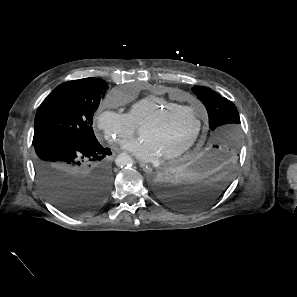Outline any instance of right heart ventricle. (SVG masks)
<instances>
[{
  "instance_id": "obj_1",
  "label": "right heart ventricle",
  "mask_w": 297,
  "mask_h": 297,
  "mask_svg": "<svg viewBox=\"0 0 297 297\" xmlns=\"http://www.w3.org/2000/svg\"><path fill=\"white\" fill-rule=\"evenodd\" d=\"M173 105L178 104L162 96L149 95L135 101L129 108L128 116L134 126H142L155 113Z\"/></svg>"
}]
</instances>
